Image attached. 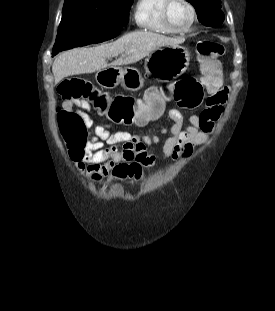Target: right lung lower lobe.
<instances>
[{
    "instance_id": "obj_1",
    "label": "right lung lower lobe",
    "mask_w": 275,
    "mask_h": 311,
    "mask_svg": "<svg viewBox=\"0 0 275 311\" xmlns=\"http://www.w3.org/2000/svg\"><path fill=\"white\" fill-rule=\"evenodd\" d=\"M124 25H125V24H119L118 27L116 28V31H115V32H113L111 35L105 36L104 38H102V39L100 40V42L105 41V40H109V39L114 38V37H116L117 35H119V33H120V31H121V29H122V27H123Z\"/></svg>"
}]
</instances>
